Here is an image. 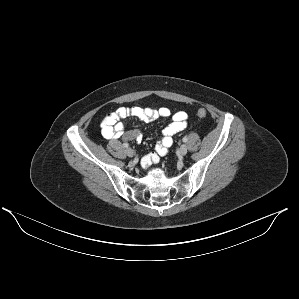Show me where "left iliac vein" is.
<instances>
[{
    "label": "left iliac vein",
    "instance_id": "obj_1",
    "mask_svg": "<svg viewBox=\"0 0 299 299\" xmlns=\"http://www.w3.org/2000/svg\"><path fill=\"white\" fill-rule=\"evenodd\" d=\"M188 152L187 146L186 145H181V147L179 148V153L180 155L184 156L186 155Z\"/></svg>",
    "mask_w": 299,
    "mask_h": 299
}]
</instances>
